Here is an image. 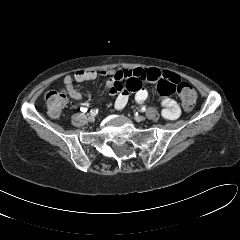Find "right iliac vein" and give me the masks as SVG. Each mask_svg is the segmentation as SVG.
I'll use <instances>...</instances> for the list:
<instances>
[{
    "label": "right iliac vein",
    "mask_w": 240,
    "mask_h": 240,
    "mask_svg": "<svg viewBox=\"0 0 240 240\" xmlns=\"http://www.w3.org/2000/svg\"><path fill=\"white\" fill-rule=\"evenodd\" d=\"M88 120H89L90 122H94V121H95V115L90 114V115L88 116Z\"/></svg>",
    "instance_id": "obj_1"
}]
</instances>
